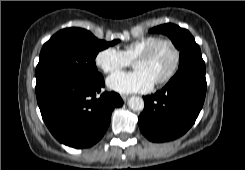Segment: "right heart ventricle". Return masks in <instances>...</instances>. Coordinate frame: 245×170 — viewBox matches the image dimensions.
<instances>
[{
  "label": "right heart ventricle",
  "mask_w": 245,
  "mask_h": 170,
  "mask_svg": "<svg viewBox=\"0 0 245 170\" xmlns=\"http://www.w3.org/2000/svg\"><path fill=\"white\" fill-rule=\"evenodd\" d=\"M157 36H145L137 40H134L124 46L123 53L131 61L134 60L137 55L147 48L153 41L158 39Z\"/></svg>",
  "instance_id": "e07e8e85"
}]
</instances>
